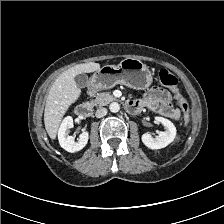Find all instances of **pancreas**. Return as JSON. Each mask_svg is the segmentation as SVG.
<instances>
[{"mask_svg":"<svg viewBox=\"0 0 224 224\" xmlns=\"http://www.w3.org/2000/svg\"><path fill=\"white\" fill-rule=\"evenodd\" d=\"M116 98L110 92L97 93L95 99L92 101L94 106H105Z\"/></svg>","mask_w":224,"mask_h":224,"instance_id":"cf45deb5","label":"pancreas"}]
</instances>
